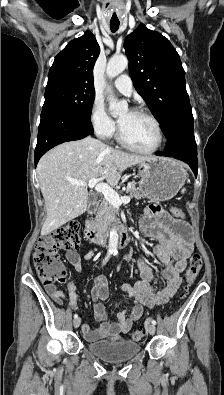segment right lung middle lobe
I'll list each match as a JSON object with an SVG mask.
<instances>
[{
  "label": "right lung middle lobe",
  "instance_id": "right-lung-middle-lobe-1",
  "mask_svg": "<svg viewBox=\"0 0 224 395\" xmlns=\"http://www.w3.org/2000/svg\"><path fill=\"white\" fill-rule=\"evenodd\" d=\"M94 98V86L63 77H53L48 78L44 104L90 120Z\"/></svg>",
  "mask_w": 224,
  "mask_h": 395
}]
</instances>
